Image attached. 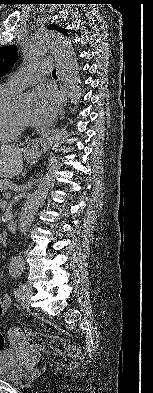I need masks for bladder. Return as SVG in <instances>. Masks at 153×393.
<instances>
[{"instance_id":"obj_1","label":"bladder","mask_w":153,"mask_h":393,"mask_svg":"<svg viewBox=\"0 0 153 393\" xmlns=\"http://www.w3.org/2000/svg\"><path fill=\"white\" fill-rule=\"evenodd\" d=\"M24 375V369L17 361V353L13 349L0 352V379L18 381Z\"/></svg>"}]
</instances>
